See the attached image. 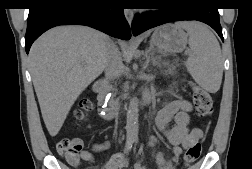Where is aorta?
Returning <instances> with one entry per match:
<instances>
[{
  "label": "aorta",
  "mask_w": 252,
  "mask_h": 169,
  "mask_svg": "<svg viewBox=\"0 0 252 169\" xmlns=\"http://www.w3.org/2000/svg\"><path fill=\"white\" fill-rule=\"evenodd\" d=\"M139 105L137 98H132L130 100L127 114H126V135L127 140L133 141L138 139L139 132Z\"/></svg>",
  "instance_id": "1"
}]
</instances>
